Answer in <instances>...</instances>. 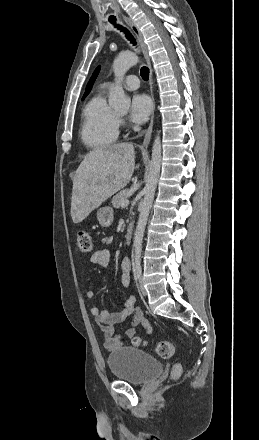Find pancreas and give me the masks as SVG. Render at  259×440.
Returning a JSON list of instances; mask_svg holds the SVG:
<instances>
[{
    "label": "pancreas",
    "instance_id": "pancreas-1",
    "mask_svg": "<svg viewBox=\"0 0 259 440\" xmlns=\"http://www.w3.org/2000/svg\"><path fill=\"white\" fill-rule=\"evenodd\" d=\"M128 198V189H124L116 194L112 198V205L114 208L118 209L121 207V202L127 200Z\"/></svg>",
    "mask_w": 259,
    "mask_h": 440
}]
</instances>
